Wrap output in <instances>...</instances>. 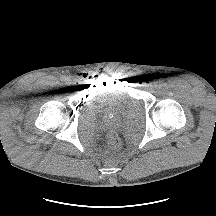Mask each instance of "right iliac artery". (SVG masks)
<instances>
[{
  "label": "right iliac artery",
  "mask_w": 216,
  "mask_h": 216,
  "mask_svg": "<svg viewBox=\"0 0 216 216\" xmlns=\"http://www.w3.org/2000/svg\"><path fill=\"white\" fill-rule=\"evenodd\" d=\"M65 79H66L65 76L60 77V80H61V81H65Z\"/></svg>",
  "instance_id": "82829eb1"
}]
</instances>
